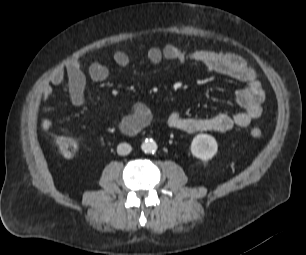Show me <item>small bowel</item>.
Masks as SVG:
<instances>
[{
	"instance_id": "obj_1",
	"label": "small bowel",
	"mask_w": 306,
	"mask_h": 255,
	"mask_svg": "<svg viewBox=\"0 0 306 255\" xmlns=\"http://www.w3.org/2000/svg\"><path fill=\"white\" fill-rule=\"evenodd\" d=\"M147 58L152 64H159L163 60L179 65L192 62L246 85L236 93V102L241 107V111L233 114L221 113L204 118L185 117L178 112H171L166 118V122L171 128L187 133L225 132L235 126L247 127L262 114V103L265 96L262 85L257 79L256 71L237 54L225 50L210 49H197L187 52L178 44L168 43L163 48L156 46L149 48ZM112 59L120 67H126L130 62L129 55L123 50H116L112 54ZM84 68V61L81 58H76L56 71L51 76L49 84L42 90L43 100H47L53 95L54 87L66 85L71 103L74 106H81L84 103L86 88ZM87 73L92 81L102 82L109 77L110 70L103 63L93 61L87 66ZM51 109L52 107H47V110ZM151 119L150 109L143 103H137L132 113L120 121V128L126 133H134ZM41 127L44 131H50L52 121L43 119Z\"/></svg>"
}]
</instances>
